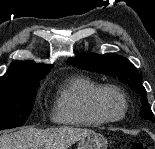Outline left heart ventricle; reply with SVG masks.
<instances>
[{
    "label": "left heart ventricle",
    "instance_id": "1",
    "mask_svg": "<svg viewBox=\"0 0 155 149\" xmlns=\"http://www.w3.org/2000/svg\"><path fill=\"white\" fill-rule=\"evenodd\" d=\"M102 102L104 109L109 115L113 117L121 115L123 110V103L117 95L107 93L104 95Z\"/></svg>",
    "mask_w": 155,
    "mask_h": 149
}]
</instances>
